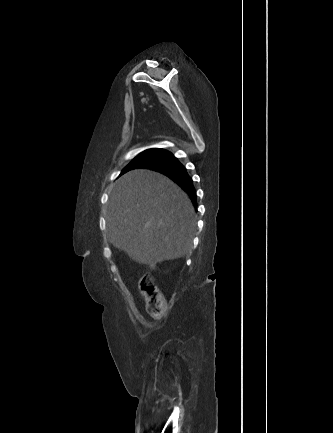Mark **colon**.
Returning a JSON list of instances; mask_svg holds the SVG:
<instances>
[{"label":"colon","instance_id":"5ec220e1","mask_svg":"<svg viewBox=\"0 0 333 433\" xmlns=\"http://www.w3.org/2000/svg\"><path fill=\"white\" fill-rule=\"evenodd\" d=\"M138 286L141 294L146 299L148 313L154 319L163 318L165 315L166 301L154 280L148 275H143L138 281Z\"/></svg>","mask_w":333,"mask_h":433}]
</instances>
